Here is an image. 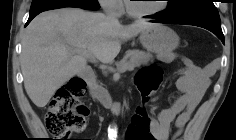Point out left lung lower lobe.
<instances>
[{
  "instance_id": "0a47b994",
  "label": "left lung lower lobe",
  "mask_w": 236,
  "mask_h": 140,
  "mask_svg": "<svg viewBox=\"0 0 236 140\" xmlns=\"http://www.w3.org/2000/svg\"><path fill=\"white\" fill-rule=\"evenodd\" d=\"M152 22L167 23V24H187V25L199 26L213 32L224 44V35L222 33L221 25H218L215 23L193 21V20H172V19H168L164 17L163 15L157 16L156 20Z\"/></svg>"
}]
</instances>
